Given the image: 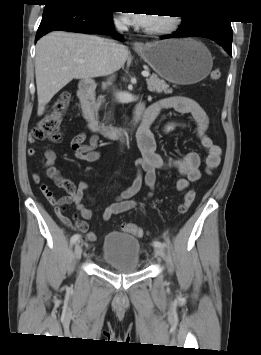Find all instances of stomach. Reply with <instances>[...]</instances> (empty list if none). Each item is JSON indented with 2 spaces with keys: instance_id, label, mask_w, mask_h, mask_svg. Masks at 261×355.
<instances>
[{
  "instance_id": "obj_1",
  "label": "stomach",
  "mask_w": 261,
  "mask_h": 355,
  "mask_svg": "<svg viewBox=\"0 0 261 355\" xmlns=\"http://www.w3.org/2000/svg\"><path fill=\"white\" fill-rule=\"evenodd\" d=\"M137 53L159 76L175 84L200 82L213 66L210 51L193 38L147 43Z\"/></svg>"
}]
</instances>
